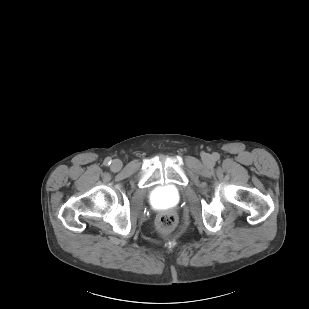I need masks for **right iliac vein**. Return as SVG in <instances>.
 <instances>
[{"mask_svg":"<svg viewBox=\"0 0 309 309\" xmlns=\"http://www.w3.org/2000/svg\"><path fill=\"white\" fill-rule=\"evenodd\" d=\"M122 168V162L118 159L114 160L111 164V169L113 171H119Z\"/></svg>","mask_w":309,"mask_h":309,"instance_id":"63e3f726","label":"right iliac vein"}]
</instances>
